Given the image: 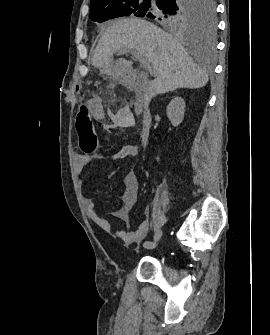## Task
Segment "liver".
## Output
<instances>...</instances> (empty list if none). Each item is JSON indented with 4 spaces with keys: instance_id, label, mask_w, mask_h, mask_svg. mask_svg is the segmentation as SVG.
<instances>
[{
    "instance_id": "liver-1",
    "label": "liver",
    "mask_w": 270,
    "mask_h": 335,
    "mask_svg": "<svg viewBox=\"0 0 270 335\" xmlns=\"http://www.w3.org/2000/svg\"><path fill=\"white\" fill-rule=\"evenodd\" d=\"M119 50H136L153 64L156 78L149 82L151 96L177 88H203L209 80L206 72L194 64L181 40L147 20L131 16L111 24L96 46L92 66L104 72H128L133 62L112 66L113 54Z\"/></svg>"
}]
</instances>
